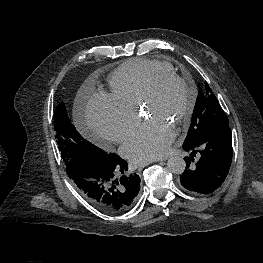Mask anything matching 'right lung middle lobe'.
Listing matches in <instances>:
<instances>
[{
    "instance_id": "1",
    "label": "right lung middle lobe",
    "mask_w": 263,
    "mask_h": 263,
    "mask_svg": "<svg viewBox=\"0 0 263 263\" xmlns=\"http://www.w3.org/2000/svg\"><path fill=\"white\" fill-rule=\"evenodd\" d=\"M54 129L68 176L83 163L106 158V152L85 140L75 129L64 103L59 104L54 113Z\"/></svg>"
}]
</instances>
